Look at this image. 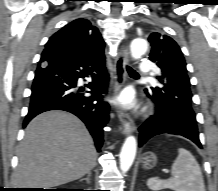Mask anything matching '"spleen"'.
<instances>
[{"mask_svg": "<svg viewBox=\"0 0 218 191\" xmlns=\"http://www.w3.org/2000/svg\"><path fill=\"white\" fill-rule=\"evenodd\" d=\"M172 177L167 180L149 178L147 186L154 191H205L202 172L195 157L186 149L179 148L171 168Z\"/></svg>", "mask_w": 218, "mask_h": 191, "instance_id": "spleen-1", "label": "spleen"}]
</instances>
